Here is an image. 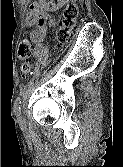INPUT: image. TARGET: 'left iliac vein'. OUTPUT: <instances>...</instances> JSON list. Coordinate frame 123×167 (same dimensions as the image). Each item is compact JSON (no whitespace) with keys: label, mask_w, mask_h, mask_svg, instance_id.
<instances>
[{"label":"left iliac vein","mask_w":123,"mask_h":167,"mask_svg":"<svg viewBox=\"0 0 123 167\" xmlns=\"http://www.w3.org/2000/svg\"><path fill=\"white\" fill-rule=\"evenodd\" d=\"M19 121L21 124H24V120L21 117L19 118Z\"/></svg>","instance_id":"left-iliac-vein-1"}]
</instances>
